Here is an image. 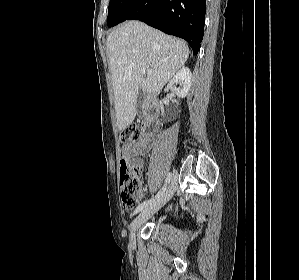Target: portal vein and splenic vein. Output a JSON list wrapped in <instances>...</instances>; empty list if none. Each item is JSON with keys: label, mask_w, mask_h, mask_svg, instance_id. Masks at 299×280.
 <instances>
[{"label": "portal vein and splenic vein", "mask_w": 299, "mask_h": 280, "mask_svg": "<svg viewBox=\"0 0 299 280\" xmlns=\"http://www.w3.org/2000/svg\"><path fill=\"white\" fill-rule=\"evenodd\" d=\"M140 73H141V75H145V74L150 75L152 73V71L151 70H146V69H141Z\"/></svg>", "instance_id": "obj_1"}]
</instances>
